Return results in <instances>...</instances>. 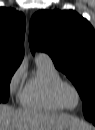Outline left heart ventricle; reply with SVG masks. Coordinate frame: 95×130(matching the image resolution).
Here are the masks:
<instances>
[{
	"mask_svg": "<svg viewBox=\"0 0 95 130\" xmlns=\"http://www.w3.org/2000/svg\"><path fill=\"white\" fill-rule=\"evenodd\" d=\"M63 98L65 103L70 107H75L78 104L77 93L70 87L64 88Z\"/></svg>",
	"mask_w": 95,
	"mask_h": 130,
	"instance_id": "b2bd125f",
	"label": "left heart ventricle"
}]
</instances>
